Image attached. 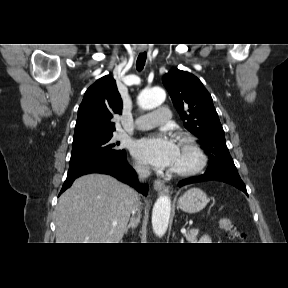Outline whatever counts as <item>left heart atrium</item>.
<instances>
[{"label": "left heart atrium", "mask_w": 288, "mask_h": 288, "mask_svg": "<svg viewBox=\"0 0 288 288\" xmlns=\"http://www.w3.org/2000/svg\"><path fill=\"white\" fill-rule=\"evenodd\" d=\"M131 152L139 161L163 169L174 164L178 146L167 134L157 133L136 140Z\"/></svg>", "instance_id": "obj_1"}]
</instances>
